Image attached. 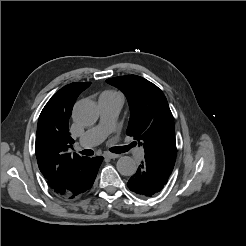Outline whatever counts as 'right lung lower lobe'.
Here are the masks:
<instances>
[{
    "instance_id": "1",
    "label": "right lung lower lobe",
    "mask_w": 246,
    "mask_h": 246,
    "mask_svg": "<svg viewBox=\"0 0 246 246\" xmlns=\"http://www.w3.org/2000/svg\"><path fill=\"white\" fill-rule=\"evenodd\" d=\"M102 161L103 157L87 158L81 169L71 177L64 191L57 194L67 199L82 196L92 187Z\"/></svg>"
}]
</instances>
